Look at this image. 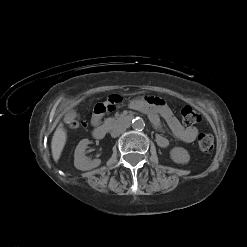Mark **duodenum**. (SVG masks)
Masks as SVG:
<instances>
[{
  "label": "duodenum",
  "instance_id": "410a0bca",
  "mask_svg": "<svg viewBox=\"0 0 247 247\" xmlns=\"http://www.w3.org/2000/svg\"><path fill=\"white\" fill-rule=\"evenodd\" d=\"M133 120L132 115H123L120 117L112 118L102 125H96L93 129V136L96 139H102L105 137L110 128L115 125H129Z\"/></svg>",
  "mask_w": 247,
  "mask_h": 247
}]
</instances>
